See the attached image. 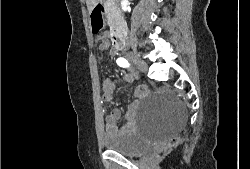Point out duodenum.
Segmentation results:
<instances>
[{"label":"duodenum","mask_w":250,"mask_h":169,"mask_svg":"<svg viewBox=\"0 0 250 169\" xmlns=\"http://www.w3.org/2000/svg\"><path fill=\"white\" fill-rule=\"evenodd\" d=\"M108 13L111 12L108 11ZM109 36L115 48L120 49L124 48L127 45L128 30L126 27V23L123 19H121L120 17L112 19V30L110 31Z\"/></svg>","instance_id":"1"}]
</instances>
